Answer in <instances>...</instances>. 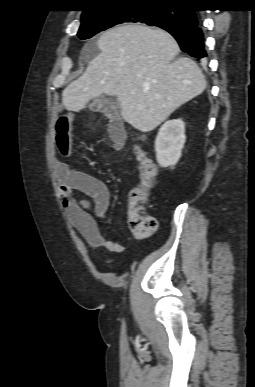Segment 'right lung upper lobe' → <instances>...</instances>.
<instances>
[{
    "label": "right lung upper lobe",
    "mask_w": 255,
    "mask_h": 387,
    "mask_svg": "<svg viewBox=\"0 0 255 387\" xmlns=\"http://www.w3.org/2000/svg\"><path fill=\"white\" fill-rule=\"evenodd\" d=\"M192 1L193 0H86V9L83 10L82 18L117 7L170 5L182 8L192 4Z\"/></svg>",
    "instance_id": "right-lung-upper-lobe-1"
}]
</instances>
